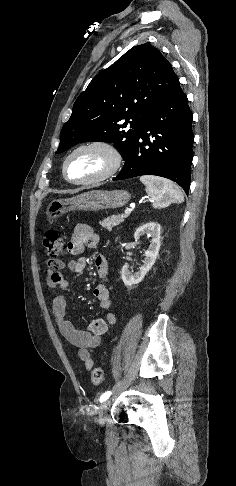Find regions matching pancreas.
<instances>
[{
  "label": "pancreas",
  "mask_w": 236,
  "mask_h": 486,
  "mask_svg": "<svg viewBox=\"0 0 236 486\" xmlns=\"http://www.w3.org/2000/svg\"><path fill=\"white\" fill-rule=\"evenodd\" d=\"M126 217H128V215L126 214L113 215L101 221L100 225L105 229H107L108 231H111L113 227H116L117 225L122 223Z\"/></svg>",
  "instance_id": "1"
}]
</instances>
